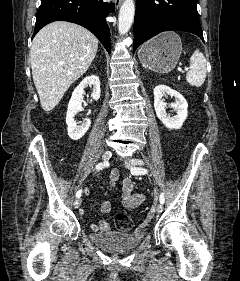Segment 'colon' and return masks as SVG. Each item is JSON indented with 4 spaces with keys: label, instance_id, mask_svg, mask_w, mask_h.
Wrapping results in <instances>:
<instances>
[{
    "label": "colon",
    "instance_id": "1",
    "mask_svg": "<svg viewBox=\"0 0 240 281\" xmlns=\"http://www.w3.org/2000/svg\"><path fill=\"white\" fill-rule=\"evenodd\" d=\"M115 225L121 231H131L133 229V222L129 216L123 213L115 215Z\"/></svg>",
    "mask_w": 240,
    "mask_h": 281
}]
</instances>
